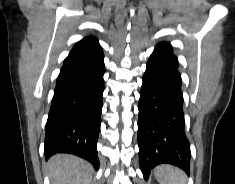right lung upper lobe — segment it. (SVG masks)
I'll return each mask as SVG.
<instances>
[{
  "label": "right lung upper lobe",
  "mask_w": 235,
  "mask_h": 184,
  "mask_svg": "<svg viewBox=\"0 0 235 184\" xmlns=\"http://www.w3.org/2000/svg\"><path fill=\"white\" fill-rule=\"evenodd\" d=\"M102 48L94 36H87L77 42L70 54H95L101 53Z\"/></svg>",
  "instance_id": "obj_1"
}]
</instances>
